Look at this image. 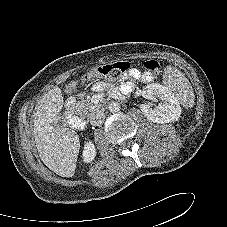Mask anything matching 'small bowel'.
<instances>
[{
  "label": "small bowel",
  "instance_id": "c3829d8e",
  "mask_svg": "<svg viewBox=\"0 0 227 227\" xmlns=\"http://www.w3.org/2000/svg\"><path fill=\"white\" fill-rule=\"evenodd\" d=\"M131 75L136 78V79H140L141 78V74L138 70H132L131 71ZM143 79H147L144 76L142 77ZM97 90H102L104 88V85L102 83H98L95 87Z\"/></svg>",
  "mask_w": 227,
  "mask_h": 227
}]
</instances>
